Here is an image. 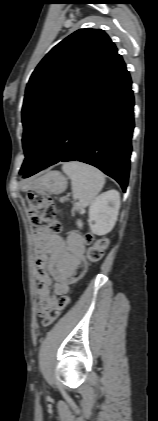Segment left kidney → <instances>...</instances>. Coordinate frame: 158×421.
<instances>
[{
  "instance_id": "obj_1",
  "label": "left kidney",
  "mask_w": 158,
  "mask_h": 421,
  "mask_svg": "<svg viewBox=\"0 0 158 421\" xmlns=\"http://www.w3.org/2000/svg\"><path fill=\"white\" fill-rule=\"evenodd\" d=\"M120 208V194L109 190L99 195L89 208V226L99 236L109 233L117 220Z\"/></svg>"
}]
</instances>
